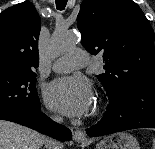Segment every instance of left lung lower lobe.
Returning a JSON list of instances; mask_svg holds the SVG:
<instances>
[{
  "instance_id": "left-lung-lower-lobe-1",
  "label": "left lung lower lobe",
  "mask_w": 155,
  "mask_h": 149,
  "mask_svg": "<svg viewBox=\"0 0 155 149\" xmlns=\"http://www.w3.org/2000/svg\"><path fill=\"white\" fill-rule=\"evenodd\" d=\"M108 111L98 124L86 129L90 137L135 128H155V80L127 86L109 95Z\"/></svg>"
}]
</instances>
